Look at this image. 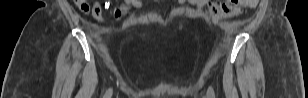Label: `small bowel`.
<instances>
[{"label": "small bowel", "mask_w": 308, "mask_h": 98, "mask_svg": "<svg viewBox=\"0 0 308 98\" xmlns=\"http://www.w3.org/2000/svg\"><path fill=\"white\" fill-rule=\"evenodd\" d=\"M176 2L179 6H183L186 3H189V4H191V5H193L197 8H201V7L205 6L206 3H207L206 0H178ZM128 3L135 8H141L142 7V1H140V0H129ZM255 5L248 6V7H254ZM89 9H90V5H89ZM89 9H88V11H89ZM120 10L125 11L124 8H120ZM91 12H92V16H93L94 20L98 24L103 25L104 24V18H103V15H102V9H101L99 2L95 1L92 4Z\"/></svg>", "instance_id": "obj_1"}]
</instances>
